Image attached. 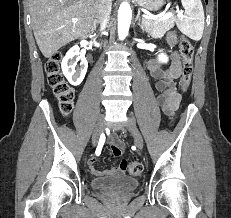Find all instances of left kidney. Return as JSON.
Segmentation results:
<instances>
[{
    "mask_svg": "<svg viewBox=\"0 0 231 218\" xmlns=\"http://www.w3.org/2000/svg\"><path fill=\"white\" fill-rule=\"evenodd\" d=\"M158 59H159V61L162 62V63H167V61H168V57H167V55H165L164 53H161V54L158 56Z\"/></svg>",
    "mask_w": 231,
    "mask_h": 218,
    "instance_id": "left-kidney-1",
    "label": "left kidney"
}]
</instances>
